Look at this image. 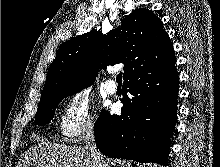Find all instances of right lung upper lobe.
I'll use <instances>...</instances> for the list:
<instances>
[{"mask_svg": "<svg viewBox=\"0 0 220 167\" xmlns=\"http://www.w3.org/2000/svg\"><path fill=\"white\" fill-rule=\"evenodd\" d=\"M175 60L162 21L147 9H135L107 35L91 30L63 43L48 70L41 101L65 89L89 86L100 67L123 63L125 81Z\"/></svg>", "mask_w": 220, "mask_h": 167, "instance_id": "right-lung-upper-lobe-1", "label": "right lung upper lobe"}]
</instances>
